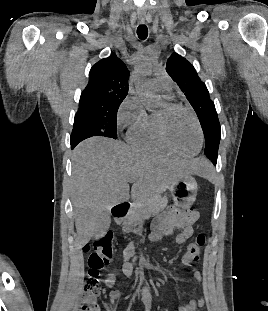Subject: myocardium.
<instances>
[{"mask_svg":"<svg viewBox=\"0 0 268 311\" xmlns=\"http://www.w3.org/2000/svg\"><path fill=\"white\" fill-rule=\"evenodd\" d=\"M174 110H182L187 112L191 118L193 119L196 128L198 130V134H199V146L198 149L195 153L193 154H187L184 153L182 151H180L170 140L168 132H167V126H166V121H167V116L170 112L174 111ZM157 124H158V131H159V135L162 139V141L164 142V144L174 153L182 156V157H186V158H192L197 156L200 152L201 149L203 147L204 144V133H203V129L202 126L200 124V121L197 117V115L194 113V111L192 109H190L189 107L179 104V103H175V102H167L164 104L163 109L159 110L157 112Z\"/></svg>","mask_w":268,"mask_h":311,"instance_id":"f54148a6","label":"myocardium"}]
</instances>
